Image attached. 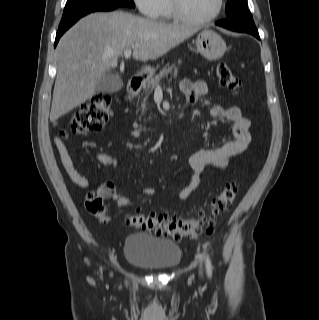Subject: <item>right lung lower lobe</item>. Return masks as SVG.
<instances>
[{
  "label": "right lung lower lobe",
  "mask_w": 319,
  "mask_h": 320,
  "mask_svg": "<svg viewBox=\"0 0 319 320\" xmlns=\"http://www.w3.org/2000/svg\"><path fill=\"white\" fill-rule=\"evenodd\" d=\"M116 8H117V7L112 8V9H109V10H102V11H110V10H114V9H116ZM79 18H81V17H79ZM79 18L71 21L69 24H67V25H65V26H62V27H59V28H58L54 46L57 45V43H58L60 37L62 36V34H63L67 29H69Z\"/></svg>",
  "instance_id": "obj_1"
}]
</instances>
